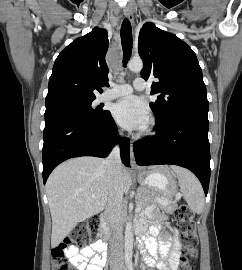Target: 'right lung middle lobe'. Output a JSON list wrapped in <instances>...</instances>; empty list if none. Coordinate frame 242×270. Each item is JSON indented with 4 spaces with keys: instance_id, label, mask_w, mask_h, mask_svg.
Listing matches in <instances>:
<instances>
[{
    "instance_id": "obj_1",
    "label": "right lung middle lobe",
    "mask_w": 242,
    "mask_h": 270,
    "mask_svg": "<svg viewBox=\"0 0 242 270\" xmlns=\"http://www.w3.org/2000/svg\"><path fill=\"white\" fill-rule=\"evenodd\" d=\"M92 100H74V101H66L57 104H53L50 106H46L45 118L50 117L55 114L79 111L89 117L94 119H102L106 116L109 111L101 110V107L94 108L92 106Z\"/></svg>"
}]
</instances>
